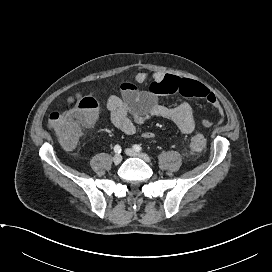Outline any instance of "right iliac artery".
I'll use <instances>...</instances> for the list:
<instances>
[{
	"label": "right iliac artery",
	"instance_id": "right-iliac-artery-1",
	"mask_svg": "<svg viewBox=\"0 0 272 272\" xmlns=\"http://www.w3.org/2000/svg\"><path fill=\"white\" fill-rule=\"evenodd\" d=\"M114 151H115V153H117V154L121 153V147H120L119 145H115Z\"/></svg>",
	"mask_w": 272,
	"mask_h": 272
}]
</instances>
